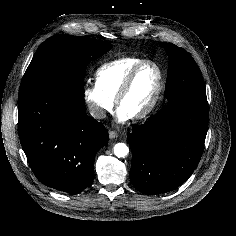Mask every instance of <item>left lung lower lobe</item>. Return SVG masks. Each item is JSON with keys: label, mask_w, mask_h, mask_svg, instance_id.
Returning a JSON list of instances; mask_svg holds the SVG:
<instances>
[{"label": "left lung lower lobe", "mask_w": 236, "mask_h": 236, "mask_svg": "<svg viewBox=\"0 0 236 236\" xmlns=\"http://www.w3.org/2000/svg\"><path fill=\"white\" fill-rule=\"evenodd\" d=\"M206 95L170 101L128 135L132 185L149 195L174 190L201 159L208 127Z\"/></svg>", "instance_id": "0a47b994"}]
</instances>
